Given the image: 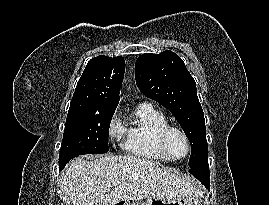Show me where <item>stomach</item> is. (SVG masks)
Instances as JSON below:
<instances>
[{
  "label": "stomach",
  "instance_id": "1",
  "mask_svg": "<svg viewBox=\"0 0 269 205\" xmlns=\"http://www.w3.org/2000/svg\"><path fill=\"white\" fill-rule=\"evenodd\" d=\"M117 205H201V202L197 196L180 199H165L148 197L144 202L133 203L128 201H120Z\"/></svg>",
  "mask_w": 269,
  "mask_h": 205
}]
</instances>
